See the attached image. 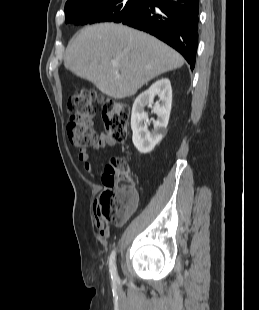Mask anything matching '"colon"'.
Instances as JSON below:
<instances>
[{"label":"colon","instance_id":"colon-1","mask_svg":"<svg viewBox=\"0 0 259 310\" xmlns=\"http://www.w3.org/2000/svg\"><path fill=\"white\" fill-rule=\"evenodd\" d=\"M97 94L82 89L68 99L69 121L67 134L70 142L78 147H95L99 143L93 127ZM102 115L108 136L116 141L126 137L130 107L119 100L104 99ZM104 189L96 199L98 216L114 225L123 224L138 203L125 160L113 158L102 175Z\"/></svg>","mask_w":259,"mask_h":310}]
</instances>
